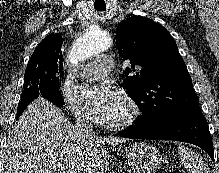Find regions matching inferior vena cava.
<instances>
[{
	"label": "inferior vena cava",
	"mask_w": 219,
	"mask_h": 173,
	"mask_svg": "<svg viewBox=\"0 0 219 173\" xmlns=\"http://www.w3.org/2000/svg\"><path fill=\"white\" fill-rule=\"evenodd\" d=\"M76 132L80 140H91L94 137L92 123L85 111L76 118Z\"/></svg>",
	"instance_id": "obj_1"
}]
</instances>
